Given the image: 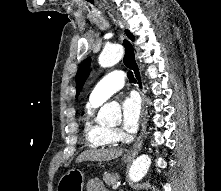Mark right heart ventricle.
I'll return each instance as SVG.
<instances>
[{
	"label": "right heart ventricle",
	"mask_w": 221,
	"mask_h": 191,
	"mask_svg": "<svg viewBox=\"0 0 221 191\" xmlns=\"http://www.w3.org/2000/svg\"><path fill=\"white\" fill-rule=\"evenodd\" d=\"M100 104L91 102L85 105L84 109V137L86 142L95 148H106L112 146L116 139L113 130L103 124L96 122L95 110Z\"/></svg>",
	"instance_id": "e07e8e85"
}]
</instances>
